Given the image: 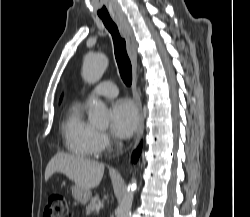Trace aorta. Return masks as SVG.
I'll return each instance as SVG.
<instances>
[{
	"mask_svg": "<svg viewBox=\"0 0 250 217\" xmlns=\"http://www.w3.org/2000/svg\"><path fill=\"white\" fill-rule=\"evenodd\" d=\"M108 62L107 58L102 53H89L86 55L83 67H82V77L83 79L90 83H97L103 76ZM89 120L91 123L97 126H107L109 123L108 110L106 105L100 100H94L93 110L89 115ZM136 191V180L128 185L126 192L119 203L117 208L116 217H130V210L132 207L134 193Z\"/></svg>",
	"mask_w": 250,
	"mask_h": 217,
	"instance_id": "762f6f07",
	"label": "aorta"
}]
</instances>
